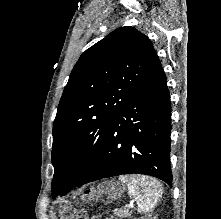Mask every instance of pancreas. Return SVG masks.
I'll return each instance as SVG.
<instances>
[{
  "instance_id": "1",
  "label": "pancreas",
  "mask_w": 221,
  "mask_h": 219,
  "mask_svg": "<svg viewBox=\"0 0 221 219\" xmlns=\"http://www.w3.org/2000/svg\"><path fill=\"white\" fill-rule=\"evenodd\" d=\"M114 215L119 218H125L130 216V212L127 209H116L114 210ZM109 219H117L116 217H111Z\"/></svg>"
}]
</instances>
